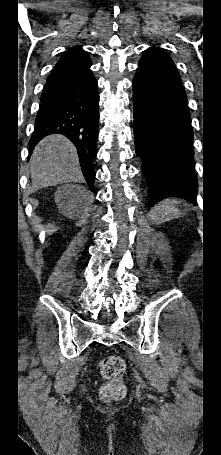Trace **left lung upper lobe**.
<instances>
[{
	"label": "left lung upper lobe",
	"instance_id": "1",
	"mask_svg": "<svg viewBox=\"0 0 221 455\" xmlns=\"http://www.w3.org/2000/svg\"><path fill=\"white\" fill-rule=\"evenodd\" d=\"M139 65L145 68L164 70L181 80L169 55L159 48L151 47L144 51Z\"/></svg>",
	"mask_w": 221,
	"mask_h": 455
}]
</instances>
